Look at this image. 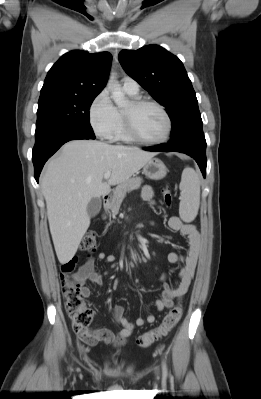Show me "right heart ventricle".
Returning a JSON list of instances; mask_svg holds the SVG:
<instances>
[{"instance_id": "right-heart-ventricle-1", "label": "right heart ventricle", "mask_w": 261, "mask_h": 399, "mask_svg": "<svg viewBox=\"0 0 261 399\" xmlns=\"http://www.w3.org/2000/svg\"><path fill=\"white\" fill-rule=\"evenodd\" d=\"M128 94L132 97L136 96V94H130V93H128ZM118 115H119V123H118L117 130L115 132L114 138H116L118 140H122V141H131V139L126 135L125 130H124L122 112L118 111Z\"/></svg>"}]
</instances>
